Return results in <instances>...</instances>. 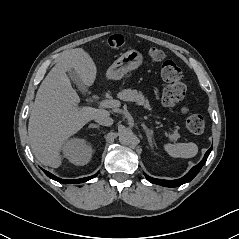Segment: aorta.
<instances>
[{
	"instance_id": "762f6f07",
	"label": "aorta",
	"mask_w": 239,
	"mask_h": 239,
	"mask_svg": "<svg viewBox=\"0 0 239 239\" xmlns=\"http://www.w3.org/2000/svg\"><path fill=\"white\" fill-rule=\"evenodd\" d=\"M134 141V134L131 130H123L119 133V142L123 145H130Z\"/></svg>"
}]
</instances>
